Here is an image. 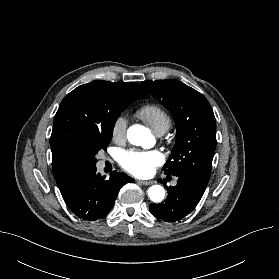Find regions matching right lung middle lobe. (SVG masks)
Listing matches in <instances>:
<instances>
[{
	"instance_id": "obj_1",
	"label": "right lung middle lobe",
	"mask_w": 279,
	"mask_h": 279,
	"mask_svg": "<svg viewBox=\"0 0 279 279\" xmlns=\"http://www.w3.org/2000/svg\"><path fill=\"white\" fill-rule=\"evenodd\" d=\"M134 100L117 99L114 100L106 114V122L101 129L90 132L86 135L81 143V150L83 156V168L96 166L95 155L99 150H106L109 141L112 138L114 124L121 114V112Z\"/></svg>"
}]
</instances>
